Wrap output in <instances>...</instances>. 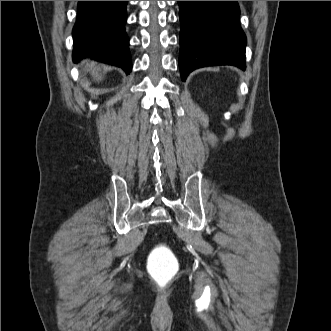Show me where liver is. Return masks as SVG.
Here are the masks:
<instances>
[{"mask_svg":"<svg viewBox=\"0 0 331 331\" xmlns=\"http://www.w3.org/2000/svg\"><path fill=\"white\" fill-rule=\"evenodd\" d=\"M86 69L89 70L92 74L93 77H96L99 79V66H97L96 64L94 63H87L86 64ZM101 79V78H100Z\"/></svg>","mask_w":331,"mask_h":331,"instance_id":"1","label":"liver"}]
</instances>
